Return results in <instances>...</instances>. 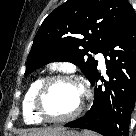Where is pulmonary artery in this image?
<instances>
[{"instance_id": "e3ab8cb5", "label": "pulmonary artery", "mask_w": 136, "mask_h": 136, "mask_svg": "<svg viewBox=\"0 0 136 136\" xmlns=\"http://www.w3.org/2000/svg\"><path fill=\"white\" fill-rule=\"evenodd\" d=\"M96 58L99 60L100 67L104 68L105 67V58H104V55L102 53H98L96 55Z\"/></svg>"}]
</instances>
